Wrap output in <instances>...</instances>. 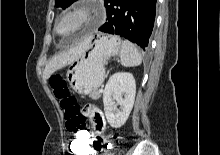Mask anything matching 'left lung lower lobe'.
<instances>
[{
    "mask_svg": "<svg viewBox=\"0 0 220 155\" xmlns=\"http://www.w3.org/2000/svg\"><path fill=\"white\" fill-rule=\"evenodd\" d=\"M105 7L107 21L99 30L124 37L145 50L154 26L156 0H105Z\"/></svg>",
    "mask_w": 220,
    "mask_h": 155,
    "instance_id": "0a47b994",
    "label": "left lung lower lobe"
}]
</instances>
